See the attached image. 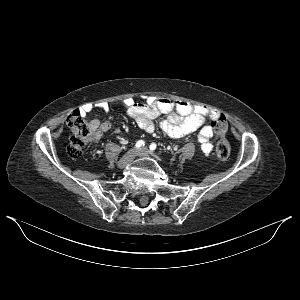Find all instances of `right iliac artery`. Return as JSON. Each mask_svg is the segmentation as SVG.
<instances>
[{"label": "right iliac artery", "mask_w": 300, "mask_h": 300, "mask_svg": "<svg viewBox=\"0 0 300 300\" xmlns=\"http://www.w3.org/2000/svg\"><path fill=\"white\" fill-rule=\"evenodd\" d=\"M144 145H145V142L143 140H139L135 146H136V148H141Z\"/></svg>", "instance_id": "82829eb1"}]
</instances>
